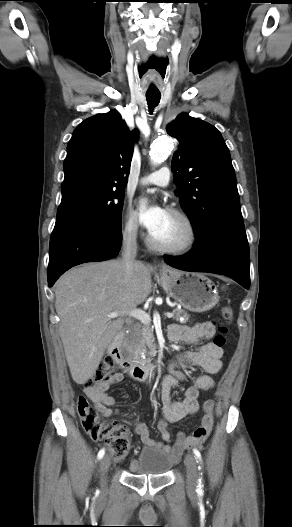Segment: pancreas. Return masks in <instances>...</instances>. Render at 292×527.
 Masks as SVG:
<instances>
[{"mask_svg": "<svg viewBox=\"0 0 292 527\" xmlns=\"http://www.w3.org/2000/svg\"><path fill=\"white\" fill-rule=\"evenodd\" d=\"M174 320L180 323H186L190 315L183 309H174ZM126 342L130 344L135 351H144L145 346L153 348L154 335L153 328L147 324L136 323L131 327L127 334Z\"/></svg>", "mask_w": 292, "mask_h": 527, "instance_id": "1", "label": "pancreas"}]
</instances>
